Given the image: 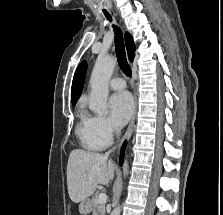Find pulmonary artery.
<instances>
[{"instance_id": "obj_1", "label": "pulmonary artery", "mask_w": 223, "mask_h": 215, "mask_svg": "<svg viewBox=\"0 0 223 215\" xmlns=\"http://www.w3.org/2000/svg\"><path fill=\"white\" fill-rule=\"evenodd\" d=\"M109 86L114 90H121L126 87V82L120 77H115L109 81Z\"/></svg>"}]
</instances>
